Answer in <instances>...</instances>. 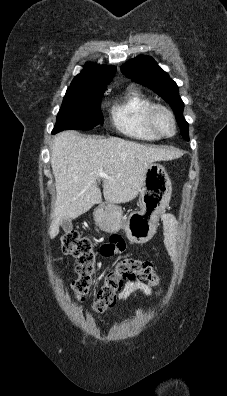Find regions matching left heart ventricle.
Wrapping results in <instances>:
<instances>
[{
  "label": "left heart ventricle",
  "instance_id": "1",
  "mask_svg": "<svg viewBox=\"0 0 227 396\" xmlns=\"http://www.w3.org/2000/svg\"><path fill=\"white\" fill-rule=\"evenodd\" d=\"M156 123L159 129L166 134H171L173 131L172 121L165 112H159L156 116Z\"/></svg>",
  "mask_w": 227,
  "mask_h": 396
}]
</instances>
